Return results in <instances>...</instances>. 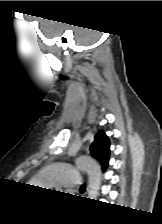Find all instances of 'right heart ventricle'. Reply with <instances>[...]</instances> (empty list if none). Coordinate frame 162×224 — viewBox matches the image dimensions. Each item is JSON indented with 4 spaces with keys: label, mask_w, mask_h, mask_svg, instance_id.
<instances>
[{
    "label": "right heart ventricle",
    "mask_w": 162,
    "mask_h": 224,
    "mask_svg": "<svg viewBox=\"0 0 162 224\" xmlns=\"http://www.w3.org/2000/svg\"><path fill=\"white\" fill-rule=\"evenodd\" d=\"M31 182H32L31 184H33V185H37V186L44 185V184L40 181L39 177H38L37 180L34 179V180H32Z\"/></svg>",
    "instance_id": "right-heart-ventricle-1"
}]
</instances>
